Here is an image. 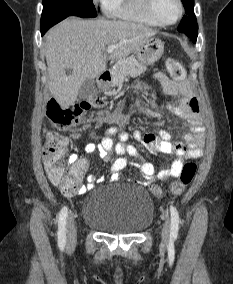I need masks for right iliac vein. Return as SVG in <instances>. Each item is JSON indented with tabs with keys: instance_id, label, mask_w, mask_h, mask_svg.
I'll return each mask as SVG.
<instances>
[{
	"instance_id": "right-iliac-vein-1",
	"label": "right iliac vein",
	"mask_w": 233,
	"mask_h": 284,
	"mask_svg": "<svg viewBox=\"0 0 233 284\" xmlns=\"http://www.w3.org/2000/svg\"><path fill=\"white\" fill-rule=\"evenodd\" d=\"M66 233H67V245L72 248L76 243V226L74 216L71 214L66 222Z\"/></svg>"
}]
</instances>
